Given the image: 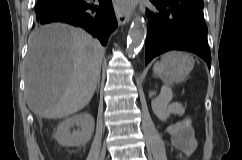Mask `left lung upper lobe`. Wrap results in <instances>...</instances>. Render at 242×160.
<instances>
[{"label":"left lung upper lobe","mask_w":242,"mask_h":160,"mask_svg":"<svg viewBox=\"0 0 242 160\" xmlns=\"http://www.w3.org/2000/svg\"><path fill=\"white\" fill-rule=\"evenodd\" d=\"M184 1L190 2L192 4L199 6V7L204 6L203 0H184Z\"/></svg>","instance_id":"left-lung-upper-lobe-1"}]
</instances>
